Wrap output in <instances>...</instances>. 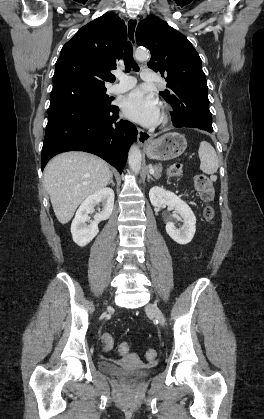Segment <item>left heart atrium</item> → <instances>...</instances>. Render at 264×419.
<instances>
[{"label":"left heart atrium","mask_w":264,"mask_h":419,"mask_svg":"<svg viewBox=\"0 0 264 419\" xmlns=\"http://www.w3.org/2000/svg\"><path fill=\"white\" fill-rule=\"evenodd\" d=\"M122 110L126 117L146 126L155 125L160 119L156 98L143 88H136L124 97Z\"/></svg>","instance_id":"left-heart-atrium-1"}]
</instances>
